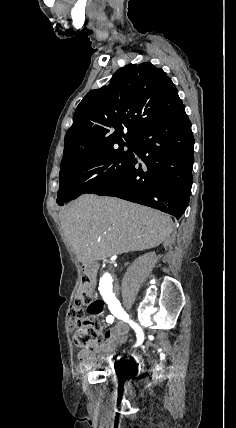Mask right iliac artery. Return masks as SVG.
I'll return each instance as SVG.
<instances>
[{
    "label": "right iliac artery",
    "instance_id": "right-iliac-artery-1",
    "mask_svg": "<svg viewBox=\"0 0 236 428\" xmlns=\"http://www.w3.org/2000/svg\"><path fill=\"white\" fill-rule=\"evenodd\" d=\"M104 301L108 304V308L111 311V313L117 317L118 319L123 320L126 323H129V325L135 330L137 333V343L134 347L139 346L142 344L144 340V333L141 329V327L129 319V315L124 311V309L121 307L120 302L115 297V294L112 292H102L101 293Z\"/></svg>",
    "mask_w": 236,
    "mask_h": 428
}]
</instances>
